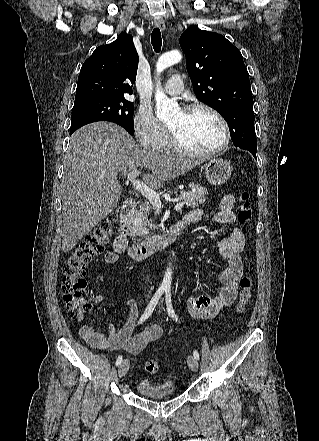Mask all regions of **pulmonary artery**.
I'll return each mask as SVG.
<instances>
[{"label": "pulmonary artery", "mask_w": 319, "mask_h": 441, "mask_svg": "<svg viewBox=\"0 0 319 441\" xmlns=\"http://www.w3.org/2000/svg\"><path fill=\"white\" fill-rule=\"evenodd\" d=\"M163 90L169 95H179L183 91V81L179 75L171 76L165 83Z\"/></svg>", "instance_id": "pulmonary-artery-1"}]
</instances>
